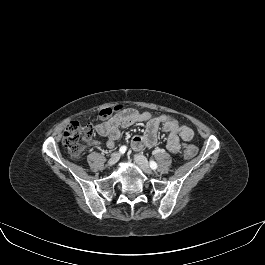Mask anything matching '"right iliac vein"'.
I'll list each match as a JSON object with an SVG mask.
<instances>
[{
  "label": "right iliac vein",
  "instance_id": "1",
  "mask_svg": "<svg viewBox=\"0 0 265 265\" xmlns=\"http://www.w3.org/2000/svg\"><path fill=\"white\" fill-rule=\"evenodd\" d=\"M119 159H120V154L119 153H113L111 155V158L109 159L107 165L113 166L114 164H116L118 162Z\"/></svg>",
  "mask_w": 265,
  "mask_h": 265
}]
</instances>
